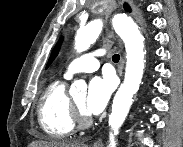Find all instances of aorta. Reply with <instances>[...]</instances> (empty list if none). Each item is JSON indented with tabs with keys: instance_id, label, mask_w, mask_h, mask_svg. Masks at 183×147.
Wrapping results in <instances>:
<instances>
[{
	"instance_id": "aorta-1",
	"label": "aorta",
	"mask_w": 183,
	"mask_h": 147,
	"mask_svg": "<svg viewBox=\"0 0 183 147\" xmlns=\"http://www.w3.org/2000/svg\"><path fill=\"white\" fill-rule=\"evenodd\" d=\"M111 23L116 33L125 43L127 64L124 81L116 92L109 116V147H116L115 135L125 121L132 105V98L139 90L144 69L143 36L137 24L125 14H114ZM103 19H95L86 26L80 27L75 36V49L81 53L86 51L98 38L103 28ZM83 80H75L70 88V94L75 95L79 90H86Z\"/></svg>"
}]
</instances>
